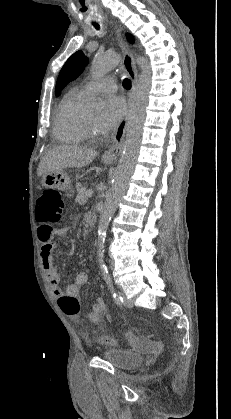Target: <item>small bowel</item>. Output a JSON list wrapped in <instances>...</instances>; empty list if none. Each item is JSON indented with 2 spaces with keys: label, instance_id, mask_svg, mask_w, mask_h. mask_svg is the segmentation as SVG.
<instances>
[{
  "label": "small bowel",
  "instance_id": "c3829d8e",
  "mask_svg": "<svg viewBox=\"0 0 231 419\" xmlns=\"http://www.w3.org/2000/svg\"><path fill=\"white\" fill-rule=\"evenodd\" d=\"M67 233L66 227L53 228L49 224H42L38 227L37 235L41 244L40 257L44 271L49 279L51 291L56 298L63 295L79 297L81 288L88 281V274L80 271L76 274L73 282L67 285L63 291L60 287V277L54 266V252L56 250L55 237H62ZM106 315V304L103 298L99 297L92 305L91 312L88 314V320L92 324H99ZM134 344H138L140 340L136 337L132 338Z\"/></svg>",
  "mask_w": 231,
  "mask_h": 419
}]
</instances>
